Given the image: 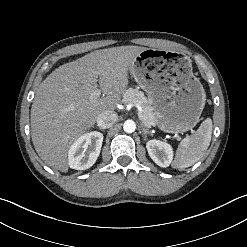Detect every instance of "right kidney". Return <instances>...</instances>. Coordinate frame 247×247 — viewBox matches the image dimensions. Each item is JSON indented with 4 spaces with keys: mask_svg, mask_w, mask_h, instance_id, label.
<instances>
[{
    "mask_svg": "<svg viewBox=\"0 0 247 247\" xmlns=\"http://www.w3.org/2000/svg\"><path fill=\"white\" fill-rule=\"evenodd\" d=\"M102 142L103 134L96 131L80 136L69 148V166L76 170L90 168L100 154Z\"/></svg>",
    "mask_w": 247,
    "mask_h": 247,
    "instance_id": "1",
    "label": "right kidney"
}]
</instances>
